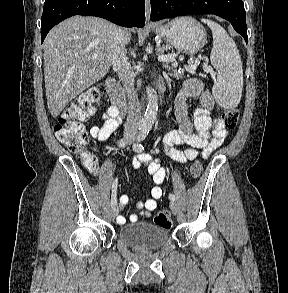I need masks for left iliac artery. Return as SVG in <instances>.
Here are the masks:
<instances>
[{
    "instance_id": "1",
    "label": "left iliac artery",
    "mask_w": 288,
    "mask_h": 293,
    "mask_svg": "<svg viewBox=\"0 0 288 293\" xmlns=\"http://www.w3.org/2000/svg\"><path fill=\"white\" fill-rule=\"evenodd\" d=\"M148 133H149V131L146 129L141 130V132L139 133V135L137 137V143H135L133 146L134 151L142 152L144 150V146L141 144V142L146 138ZM169 199L172 201H175L176 197L174 194L170 193Z\"/></svg>"
}]
</instances>
